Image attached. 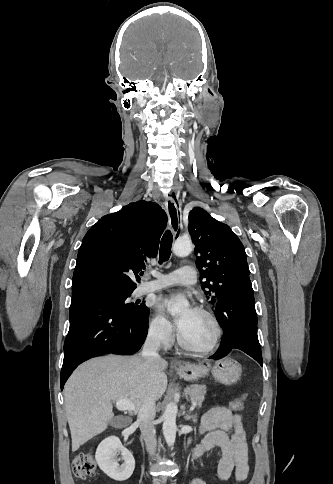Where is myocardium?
Instances as JSON below:
<instances>
[{
	"instance_id": "myocardium-1",
	"label": "myocardium",
	"mask_w": 333,
	"mask_h": 484,
	"mask_svg": "<svg viewBox=\"0 0 333 484\" xmlns=\"http://www.w3.org/2000/svg\"><path fill=\"white\" fill-rule=\"evenodd\" d=\"M194 310L196 312H199V313L207 316L211 320V322L213 323L214 328H215V335L213 337V340L207 347H204V348L193 347V346L189 345L183 339V337L181 336V334L178 330V333H177L178 344L182 349H184L188 352H191L193 354L201 355V356L208 355L216 349V347L218 346V344L221 340L222 326H221L220 321L217 318V316L211 310H209L205 307H196V308H194Z\"/></svg>"
}]
</instances>
